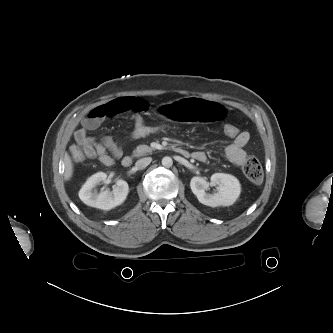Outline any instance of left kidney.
<instances>
[{"mask_svg": "<svg viewBox=\"0 0 333 333\" xmlns=\"http://www.w3.org/2000/svg\"><path fill=\"white\" fill-rule=\"evenodd\" d=\"M211 184L218 186L217 193H206ZM190 187L199 202L210 207L230 206L235 203L241 192L238 179L225 173L213 174L211 183L203 177H193Z\"/></svg>", "mask_w": 333, "mask_h": 333, "instance_id": "obj_1", "label": "left kidney"}]
</instances>
